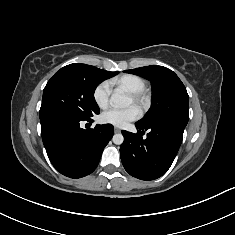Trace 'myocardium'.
I'll return each instance as SVG.
<instances>
[{
    "label": "myocardium",
    "instance_id": "obj_1",
    "mask_svg": "<svg viewBox=\"0 0 235 235\" xmlns=\"http://www.w3.org/2000/svg\"><path fill=\"white\" fill-rule=\"evenodd\" d=\"M133 103L140 109H145L148 105V97L144 91L130 93Z\"/></svg>",
    "mask_w": 235,
    "mask_h": 235
}]
</instances>
